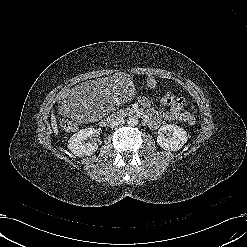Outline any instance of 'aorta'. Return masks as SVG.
Instances as JSON below:
<instances>
[{"instance_id":"762f6f07","label":"aorta","mask_w":247,"mask_h":247,"mask_svg":"<svg viewBox=\"0 0 247 247\" xmlns=\"http://www.w3.org/2000/svg\"><path fill=\"white\" fill-rule=\"evenodd\" d=\"M127 123L129 126H137L139 123L137 116H131L127 119Z\"/></svg>"}]
</instances>
